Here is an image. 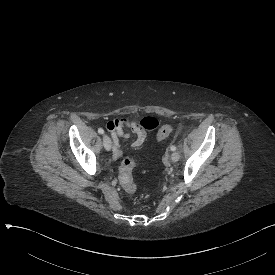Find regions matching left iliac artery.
Listing matches in <instances>:
<instances>
[{"instance_id": "44dca946", "label": "left iliac artery", "mask_w": 275, "mask_h": 275, "mask_svg": "<svg viewBox=\"0 0 275 275\" xmlns=\"http://www.w3.org/2000/svg\"><path fill=\"white\" fill-rule=\"evenodd\" d=\"M170 149H171L172 151H175V150H176V146L171 145V146H170Z\"/></svg>"}]
</instances>
